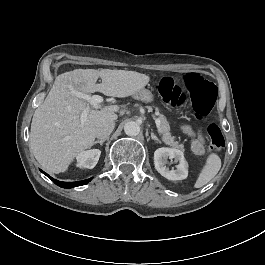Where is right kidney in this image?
I'll use <instances>...</instances> for the list:
<instances>
[{
	"instance_id": "1",
	"label": "right kidney",
	"mask_w": 265,
	"mask_h": 265,
	"mask_svg": "<svg viewBox=\"0 0 265 265\" xmlns=\"http://www.w3.org/2000/svg\"><path fill=\"white\" fill-rule=\"evenodd\" d=\"M101 151L94 149L87 152H82L77 156V162L80 167L92 169L96 166Z\"/></svg>"
}]
</instances>
